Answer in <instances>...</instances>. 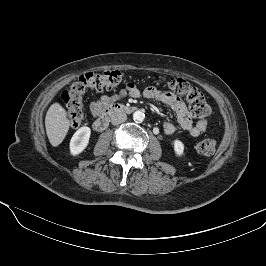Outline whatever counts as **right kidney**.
Returning a JSON list of instances; mask_svg holds the SVG:
<instances>
[{
    "mask_svg": "<svg viewBox=\"0 0 266 266\" xmlns=\"http://www.w3.org/2000/svg\"><path fill=\"white\" fill-rule=\"evenodd\" d=\"M91 129L87 126L78 129L70 141V153L74 156L80 154L85 150L89 143Z\"/></svg>",
    "mask_w": 266,
    "mask_h": 266,
    "instance_id": "ca27d5eb",
    "label": "right kidney"
}]
</instances>
